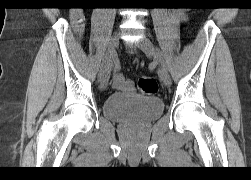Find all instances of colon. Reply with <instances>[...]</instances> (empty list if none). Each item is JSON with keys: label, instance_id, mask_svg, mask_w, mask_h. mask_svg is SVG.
<instances>
[{"label": "colon", "instance_id": "1", "mask_svg": "<svg viewBox=\"0 0 251 180\" xmlns=\"http://www.w3.org/2000/svg\"><path fill=\"white\" fill-rule=\"evenodd\" d=\"M137 89L141 94L153 95L158 91V84L154 78L143 76L137 82Z\"/></svg>", "mask_w": 251, "mask_h": 180}]
</instances>
